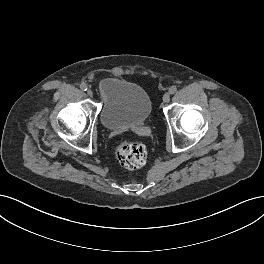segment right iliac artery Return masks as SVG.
Wrapping results in <instances>:
<instances>
[{
	"label": "right iliac artery",
	"instance_id": "1",
	"mask_svg": "<svg viewBox=\"0 0 264 264\" xmlns=\"http://www.w3.org/2000/svg\"><path fill=\"white\" fill-rule=\"evenodd\" d=\"M80 88H81V90L86 91L87 90V85L83 83V84L80 85Z\"/></svg>",
	"mask_w": 264,
	"mask_h": 264
}]
</instances>
